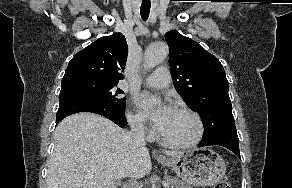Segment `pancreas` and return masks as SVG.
Wrapping results in <instances>:
<instances>
[{
    "label": "pancreas",
    "mask_w": 292,
    "mask_h": 188,
    "mask_svg": "<svg viewBox=\"0 0 292 188\" xmlns=\"http://www.w3.org/2000/svg\"><path fill=\"white\" fill-rule=\"evenodd\" d=\"M167 182L170 185V188H192L190 185L181 182L178 178L167 177Z\"/></svg>",
    "instance_id": "obj_1"
}]
</instances>
